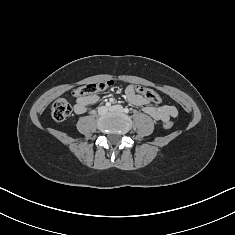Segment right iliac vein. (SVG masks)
<instances>
[{
    "label": "right iliac vein",
    "mask_w": 235,
    "mask_h": 235,
    "mask_svg": "<svg viewBox=\"0 0 235 235\" xmlns=\"http://www.w3.org/2000/svg\"><path fill=\"white\" fill-rule=\"evenodd\" d=\"M107 108L105 107V106H102V107H100L99 109H98V113L100 114V115H104V114H106L107 113Z\"/></svg>",
    "instance_id": "right-iliac-vein-1"
}]
</instances>
